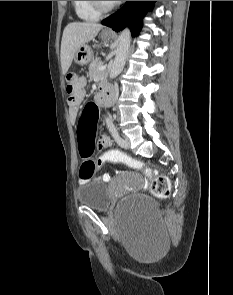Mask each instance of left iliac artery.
I'll list each match as a JSON object with an SVG mask.
<instances>
[{
  "label": "left iliac artery",
  "mask_w": 233,
  "mask_h": 295,
  "mask_svg": "<svg viewBox=\"0 0 233 295\" xmlns=\"http://www.w3.org/2000/svg\"><path fill=\"white\" fill-rule=\"evenodd\" d=\"M106 123H107V127H108L110 133L112 134L113 138L115 139V141L119 145H125V140H122V138L120 137L116 127L114 126V124L110 118L106 119Z\"/></svg>",
  "instance_id": "left-iliac-artery-1"
}]
</instances>
